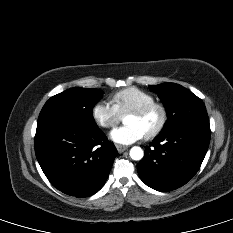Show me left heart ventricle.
Returning <instances> with one entry per match:
<instances>
[{
  "label": "left heart ventricle",
  "mask_w": 233,
  "mask_h": 233,
  "mask_svg": "<svg viewBox=\"0 0 233 233\" xmlns=\"http://www.w3.org/2000/svg\"><path fill=\"white\" fill-rule=\"evenodd\" d=\"M160 113L154 109L143 116L127 115L125 117V124H134L140 127L145 135L152 131L158 124Z\"/></svg>",
  "instance_id": "left-heart-ventricle-1"
}]
</instances>
